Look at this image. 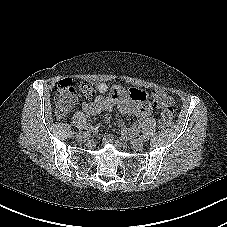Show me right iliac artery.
<instances>
[{
  "instance_id": "1",
  "label": "right iliac artery",
  "mask_w": 227,
  "mask_h": 227,
  "mask_svg": "<svg viewBox=\"0 0 227 227\" xmlns=\"http://www.w3.org/2000/svg\"><path fill=\"white\" fill-rule=\"evenodd\" d=\"M79 128H80V130H82V131H83V130H85V131L89 130V131H91V132H92V131L94 132V131H96V130L99 128V126H94V125H93V126H92V125L89 126V125H87V124H85V125L82 124V125H80Z\"/></svg>"
}]
</instances>
